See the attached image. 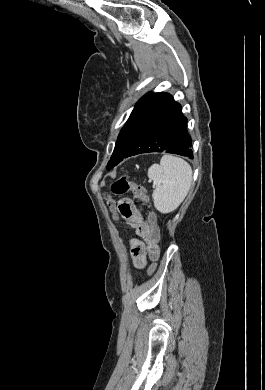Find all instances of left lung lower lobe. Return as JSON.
<instances>
[{
    "label": "left lung lower lobe",
    "instance_id": "0a47b994",
    "mask_svg": "<svg viewBox=\"0 0 265 390\" xmlns=\"http://www.w3.org/2000/svg\"><path fill=\"white\" fill-rule=\"evenodd\" d=\"M191 146L187 119L180 104L168 93H155L141 110L116 165L124 158L150 152L172 153L193 159Z\"/></svg>",
    "mask_w": 265,
    "mask_h": 390
}]
</instances>
